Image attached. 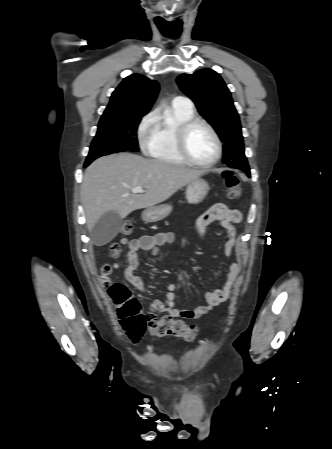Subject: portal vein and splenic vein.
<instances>
[{"mask_svg": "<svg viewBox=\"0 0 332 449\" xmlns=\"http://www.w3.org/2000/svg\"><path fill=\"white\" fill-rule=\"evenodd\" d=\"M132 193H144V190L141 186H136L134 188H132Z\"/></svg>", "mask_w": 332, "mask_h": 449, "instance_id": "1", "label": "portal vein and splenic vein"}]
</instances>
